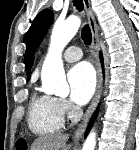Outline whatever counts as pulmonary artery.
<instances>
[{
  "label": "pulmonary artery",
  "instance_id": "e3ab8cb5",
  "mask_svg": "<svg viewBox=\"0 0 139 150\" xmlns=\"http://www.w3.org/2000/svg\"><path fill=\"white\" fill-rule=\"evenodd\" d=\"M82 50L79 47L71 46L64 52V59L68 62H75L82 58Z\"/></svg>",
  "mask_w": 139,
  "mask_h": 150
}]
</instances>
